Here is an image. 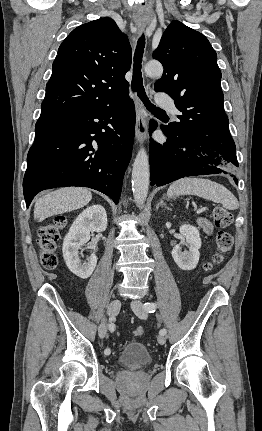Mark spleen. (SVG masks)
<instances>
[{"mask_svg":"<svg viewBox=\"0 0 262 431\" xmlns=\"http://www.w3.org/2000/svg\"><path fill=\"white\" fill-rule=\"evenodd\" d=\"M168 197L179 195H196L216 203L228 210L239 207L236 197L223 185L209 179L185 177L173 182L168 191Z\"/></svg>","mask_w":262,"mask_h":431,"instance_id":"3e777b00","label":"spleen"}]
</instances>
